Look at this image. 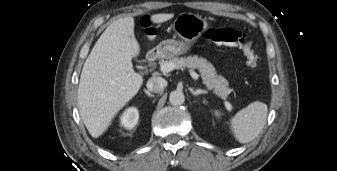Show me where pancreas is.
<instances>
[{"mask_svg":"<svg viewBox=\"0 0 337 171\" xmlns=\"http://www.w3.org/2000/svg\"><path fill=\"white\" fill-rule=\"evenodd\" d=\"M166 62L175 64L176 69L197 68L201 73L203 83L206 87L222 99H226L231 93V89L228 88V81L224 77L218 75L213 65L204 58H199L198 56L173 58L169 61H161V65Z\"/></svg>","mask_w":337,"mask_h":171,"instance_id":"pancreas-1","label":"pancreas"}]
</instances>
